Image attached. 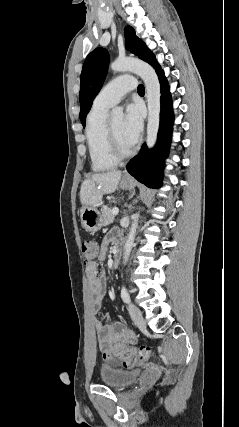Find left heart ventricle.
Instances as JSON below:
<instances>
[{
  "label": "left heart ventricle",
  "instance_id": "left-heart-ventricle-1",
  "mask_svg": "<svg viewBox=\"0 0 239 427\" xmlns=\"http://www.w3.org/2000/svg\"><path fill=\"white\" fill-rule=\"evenodd\" d=\"M111 126L116 136L120 148L124 151L130 150L133 146L125 139L123 134V119L118 118L111 121Z\"/></svg>",
  "mask_w": 239,
  "mask_h": 427
}]
</instances>
